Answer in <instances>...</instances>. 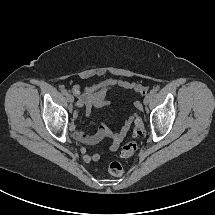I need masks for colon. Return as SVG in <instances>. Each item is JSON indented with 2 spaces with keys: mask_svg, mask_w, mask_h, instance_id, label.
Segmentation results:
<instances>
[{
  "mask_svg": "<svg viewBox=\"0 0 215 215\" xmlns=\"http://www.w3.org/2000/svg\"><path fill=\"white\" fill-rule=\"evenodd\" d=\"M144 132V123L141 116L136 115L134 118V126L132 130V137L136 139ZM137 150V143L135 140L126 142L121 150L120 157L121 158H129L131 157ZM108 172L115 177H119L124 173V168L122 164L118 161H112L108 165Z\"/></svg>",
  "mask_w": 215,
  "mask_h": 215,
  "instance_id": "1",
  "label": "colon"
}]
</instances>
